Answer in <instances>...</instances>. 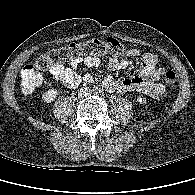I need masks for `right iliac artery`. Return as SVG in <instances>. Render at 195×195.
Instances as JSON below:
<instances>
[{"label":"right iliac artery","instance_id":"82829eb1","mask_svg":"<svg viewBox=\"0 0 195 195\" xmlns=\"http://www.w3.org/2000/svg\"><path fill=\"white\" fill-rule=\"evenodd\" d=\"M96 90H97V89L93 88V90H92V91H93V92H95Z\"/></svg>","mask_w":195,"mask_h":195}]
</instances>
